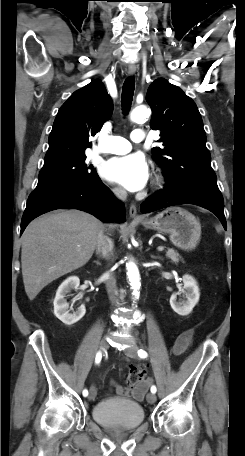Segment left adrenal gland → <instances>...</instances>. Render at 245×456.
<instances>
[{
    "label": "left adrenal gland",
    "mask_w": 245,
    "mask_h": 456,
    "mask_svg": "<svg viewBox=\"0 0 245 456\" xmlns=\"http://www.w3.org/2000/svg\"><path fill=\"white\" fill-rule=\"evenodd\" d=\"M151 258H153V259H162V257H160V256H154V255H151Z\"/></svg>",
    "instance_id": "1"
}]
</instances>
